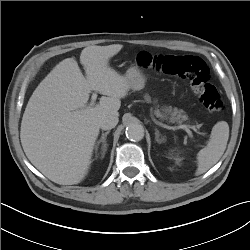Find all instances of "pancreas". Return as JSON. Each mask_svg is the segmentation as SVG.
Segmentation results:
<instances>
[{
  "label": "pancreas",
  "instance_id": "1",
  "mask_svg": "<svg viewBox=\"0 0 250 250\" xmlns=\"http://www.w3.org/2000/svg\"><path fill=\"white\" fill-rule=\"evenodd\" d=\"M161 112L159 109L154 111L156 117L161 119L167 118V113L171 115V122H181L182 120H187V115L183 114V110H178L177 108L172 109V107H168Z\"/></svg>",
  "mask_w": 250,
  "mask_h": 250
}]
</instances>
